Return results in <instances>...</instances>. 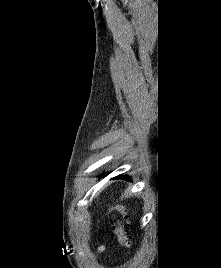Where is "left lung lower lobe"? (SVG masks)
I'll return each mask as SVG.
<instances>
[{
    "instance_id": "left-lung-lower-lobe-1",
    "label": "left lung lower lobe",
    "mask_w": 221,
    "mask_h": 268,
    "mask_svg": "<svg viewBox=\"0 0 221 268\" xmlns=\"http://www.w3.org/2000/svg\"><path fill=\"white\" fill-rule=\"evenodd\" d=\"M119 178L126 179L128 181H131V179L128 176H126V175L125 176H117L114 179H119Z\"/></svg>"
}]
</instances>
